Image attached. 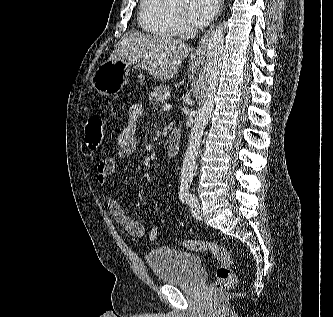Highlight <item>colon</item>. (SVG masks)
Returning <instances> with one entry per match:
<instances>
[{
	"instance_id": "5ec220e1",
	"label": "colon",
	"mask_w": 333,
	"mask_h": 317,
	"mask_svg": "<svg viewBox=\"0 0 333 317\" xmlns=\"http://www.w3.org/2000/svg\"><path fill=\"white\" fill-rule=\"evenodd\" d=\"M84 133L86 145L89 149H98L104 142V122L98 113H90L84 122ZM158 230L156 225H152L149 232L150 240L157 239ZM183 246L195 252H207L212 254L219 262L216 270V280L212 286V291H222L231 288L235 282L233 271V260L229 251L216 243L206 241L186 240Z\"/></svg>"
}]
</instances>
